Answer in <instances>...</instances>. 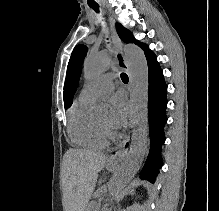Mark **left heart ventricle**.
I'll list each match as a JSON object with an SVG mask.
<instances>
[{"label":"left heart ventricle","mask_w":219,"mask_h":211,"mask_svg":"<svg viewBox=\"0 0 219 211\" xmlns=\"http://www.w3.org/2000/svg\"><path fill=\"white\" fill-rule=\"evenodd\" d=\"M106 119H107V117H103V118H101L99 121H100L101 123H106Z\"/></svg>","instance_id":"b2bd125f"}]
</instances>
